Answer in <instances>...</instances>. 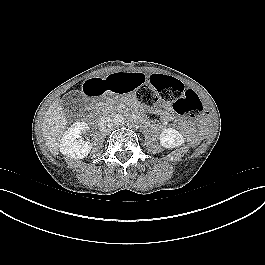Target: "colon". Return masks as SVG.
Here are the masks:
<instances>
[{"instance_id":"obj_1","label":"colon","mask_w":265,"mask_h":265,"mask_svg":"<svg viewBox=\"0 0 265 265\" xmlns=\"http://www.w3.org/2000/svg\"><path fill=\"white\" fill-rule=\"evenodd\" d=\"M149 85L138 88L136 98L144 106V116L149 121H157L156 110L169 104L181 115L192 117L203 116V104L199 95L192 89L171 77L155 72L149 76Z\"/></svg>"}]
</instances>
